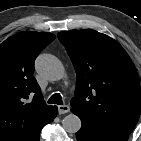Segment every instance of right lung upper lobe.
Returning <instances> with one entry per match:
<instances>
[{
  "label": "right lung upper lobe",
  "mask_w": 141,
  "mask_h": 141,
  "mask_svg": "<svg viewBox=\"0 0 141 141\" xmlns=\"http://www.w3.org/2000/svg\"><path fill=\"white\" fill-rule=\"evenodd\" d=\"M54 39L24 32L0 44V141H28L50 117L53 106L43 100L33 73L36 57Z\"/></svg>",
  "instance_id": "cb5924a9"
}]
</instances>
